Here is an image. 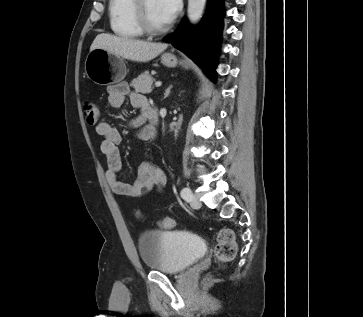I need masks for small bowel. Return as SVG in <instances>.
Returning <instances> with one entry per match:
<instances>
[{
    "instance_id": "small-bowel-1",
    "label": "small bowel",
    "mask_w": 363,
    "mask_h": 317,
    "mask_svg": "<svg viewBox=\"0 0 363 317\" xmlns=\"http://www.w3.org/2000/svg\"><path fill=\"white\" fill-rule=\"evenodd\" d=\"M108 93V102L114 108L121 107L126 95H129L131 105L141 112L133 121V127L136 129L138 137L148 139V127L145 126V120L149 111V103L145 96L137 92H130L126 83L110 87ZM95 130L102 138L100 151L107 161L106 179L113 192L126 198H138L152 191H163L166 186L165 174L151 160H146L139 166L138 178L134 184L130 185L119 180L118 174L122 168L119 144L122 142V135L107 121L98 122Z\"/></svg>"
}]
</instances>
